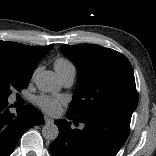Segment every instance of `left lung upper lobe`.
<instances>
[{
  "label": "left lung upper lobe",
  "mask_w": 156,
  "mask_h": 156,
  "mask_svg": "<svg viewBox=\"0 0 156 156\" xmlns=\"http://www.w3.org/2000/svg\"><path fill=\"white\" fill-rule=\"evenodd\" d=\"M78 70V86L67 113L79 118L115 113L131 119L137 107L133 69L121 53L98 45H62Z\"/></svg>",
  "instance_id": "5c2ea615"
}]
</instances>
